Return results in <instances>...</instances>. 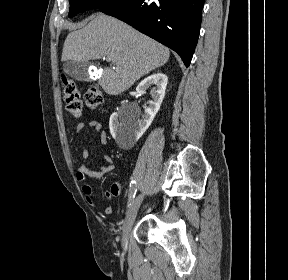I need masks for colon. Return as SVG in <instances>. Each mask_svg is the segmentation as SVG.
<instances>
[{
	"mask_svg": "<svg viewBox=\"0 0 288 280\" xmlns=\"http://www.w3.org/2000/svg\"><path fill=\"white\" fill-rule=\"evenodd\" d=\"M63 91L67 110L75 117L81 116L83 105L95 110L104 100L103 92L97 86H91L86 90L83 102L76 83L67 77H63Z\"/></svg>",
	"mask_w": 288,
	"mask_h": 280,
	"instance_id": "1",
	"label": "colon"
}]
</instances>
